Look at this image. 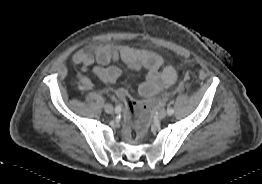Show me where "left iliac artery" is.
Wrapping results in <instances>:
<instances>
[{
  "label": "left iliac artery",
  "instance_id": "1",
  "mask_svg": "<svg viewBox=\"0 0 262 184\" xmlns=\"http://www.w3.org/2000/svg\"><path fill=\"white\" fill-rule=\"evenodd\" d=\"M167 113H168V115H173L174 114V109L173 108H169L167 110Z\"/></svg>",
  "mask_w": 262,
  "mask_h": 184
}]
</instances>
